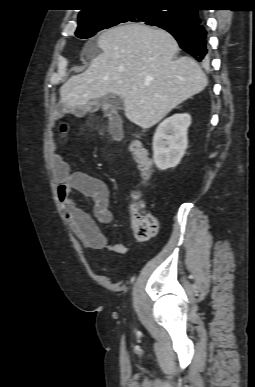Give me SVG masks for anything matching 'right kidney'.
<instances>
[{
    "label": "right kidney",
    "mask_w": 255,
    "mask_h": 387,
    "mask_svg": "<svg viewBox=\"0 0 255 387\" xmlns=\"http://www.w3.org/2000/svg\"><path fill=\"white\" fill-rule=\"evenodd\" d=\"M191 116L175 114L165 119L153 137V159L159 170L173 168L179 164L188 147V127Z\"/></svg>",
    "instance_id": "right-kidney-1"
}]
</instances>
